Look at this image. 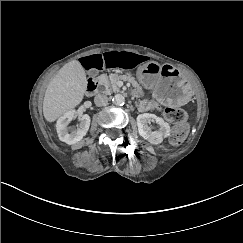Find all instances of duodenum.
<instances>
[{"label": "duodenum", "instance_id": "obj_1", "mask_svg": "<svg viewBox=\"0 0 243 243\" xmlns=\"http://www.w3.org/2000/svg\"><path fill=\"white\" fill-rule=\"evenodd\" d=\"M97 80L95 78H90L87 83L86 92L88 95L93 94L97 89Z\"/></svg>", "mask_w": 243, "mask_h": 243}]
</instances>
